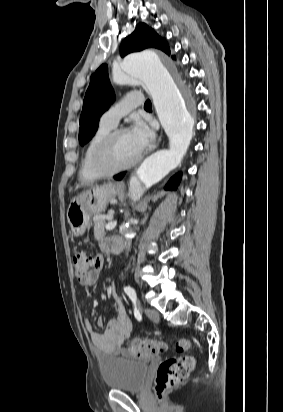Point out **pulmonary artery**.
Returning a JSON list of instances; mask_svg holds the SVG:
<instances>
[{"label": "pulmonary artery", "mask_w": 283, "mask_h": 412, "mask_svg": "<svg viewBox=\"0 0 283 412\" xmlns=\"http://www.w3.org/2000/svg\"><path fill=\"white\" fill-rule=\"evenodd\" d=\"M144 102L145 100L142 94L129 93L102 114L100 123L114 128L123 116L129 113L133 108L142 105Z\"/></svg>", "instance_id": "1"}]
</instances>
